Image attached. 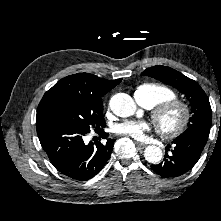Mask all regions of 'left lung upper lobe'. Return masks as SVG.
<instances>
[{
    "instance_id": "1",
    "label": "left lung upper lobe",
    "mask_w": 221,
    "mask_h": 221,
    "mask_svg": "<svg viewBox=\"0 0 221 221\" xmlns=\"http://www.w3.org/2000/svg\"><path fill=\"white\" fill-rule=\"evenodd\" d=\"M142 75L153 77L182 92L191 103L192 117L188 129L180 136L196 131H209L212 123V110L209 99L200 85L182 73L166 66L147 68Z\"/></svg>"
}]
</instances>
